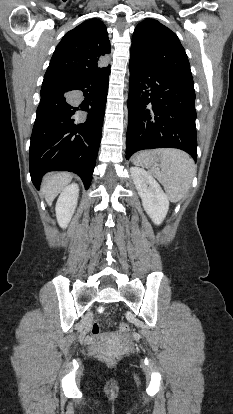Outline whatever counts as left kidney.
<instances>
[{
    "label": "left kidney",
    "mask_w": 233,
    "mask_h": 414,
    "mask_svg": "<svg viewBox=\"0 0 233 414\" xmlns=\"http://www.w3.org/2000/svg\"><path fill=\"white\" fill-rule=\"evenodd\" d=\"M130 173L144 210L156 225H160L169 209L167 195L158 182L144 169L131 167Z\"/></svg>",
    "instance_id": "obj_1"
}]
</instances>
